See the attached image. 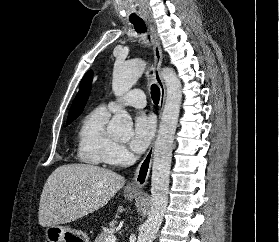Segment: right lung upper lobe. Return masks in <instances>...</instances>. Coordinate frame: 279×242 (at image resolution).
<instances>
[{
  "instance_id": "cb5924a9",
  "label": "right lung upper lobe",
  "mask_w": 279,
  "mask_h": 242,
  "mask_svg": "<svg viewBox=\"0 0 279 242\" xmlns=\"http://www.w3.org/2000/svg\"><path fill=\"white\" fill-rule=\"evenodd\" d=\"M91 82H92V72L89 71L85 74V76L81 81L79 92L76 95L69 111L68 121H73L82 112L89 95Z\"/></svg>"
}]
</instances>
